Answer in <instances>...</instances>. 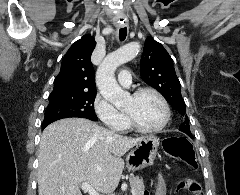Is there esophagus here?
<instances>
[{"label":"esophagus","instance_id":"esophagus-1","mask_svg":"<svg viewBox=\"0 0 240 195\" xmlns=\"http://www.w3.org/2000/svg\"><path fill=\"white\" fill-rule=\"evenodd\" d=\"M115 26H117V27H121V26H123V25H121V24H117V25H115Z\"/></svg>","mask_w":240,"mask_h":195}]
</instances>
